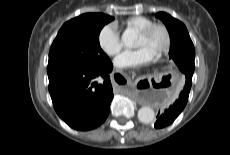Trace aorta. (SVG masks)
Returning <instances> with one entry per match:
<instances>
[{
    "instance_id": "obj_1",
    "label": "aorta",
    "mask_w": 230,
    "mask_h": 155,
    "mask_svg": "<svg viewBox=\"0 0 230 155\" xmlns=\"http://www.w3.org/2000/svg\"><path fill=\"white\" fill-rule=\"evenodd\" d=\"M133 39H134V35L129 31H125L122 34V41L126 45H130L132 43ZM138 119L140 122H142L144 124L153 123L155 120V112L149 106L141 107L138 111Z\"/></svg>"
}]
</instances>
